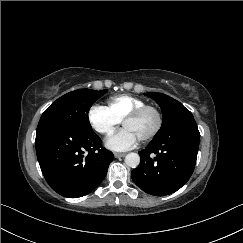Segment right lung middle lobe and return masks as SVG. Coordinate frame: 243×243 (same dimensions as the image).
<instances>
[{
	"instance_id": "right-lung-middle-lobe-1",
	"label": "right lung middle lobe",
	"mask_w": 243,
	"mask_h": 243,
	"mask_svg": "<svg viewBox=\"0 0 243 243\" xmlns=\"http://www.w3.org/2000/svg\"><path fill=\"white\" fill-rule=\"evenodd\" d=\"M106 92L107 90L79 89L63 95L44 111L37 131L53 126L93 131L88 112L92 104Z\"/></svg>"
}]
</instances>
